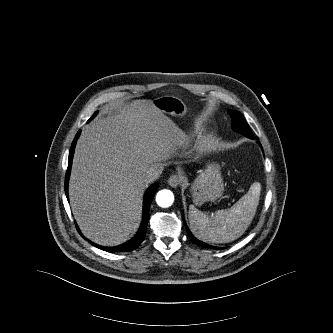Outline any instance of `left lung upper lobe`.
Here are the masks:
<instances>
[{"instance_id":"5c2ea615","label":"left lung upper lobe","mask_w":333,"mask_h":333,"mask_svg":"<svg viewBox=\"0 0 333 333\" xmlns=\"http://www.w3.org/2000/svg\"><path fill=\"white\" fill-rule=\"evenodd\" d=\"M228 113L231 116L233 130L242 133L249 138H253L252 132L243 115L240 112L234 110H229Z\"/></svg>"}]
</instances>
